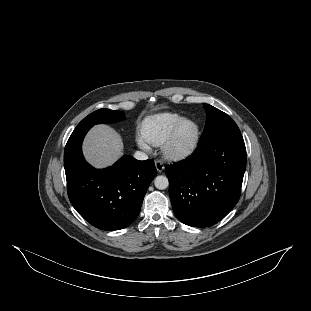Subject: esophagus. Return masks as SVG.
Segmentation results:
<instances>
[{
    "label": "esophagus",
    "mask_w": 311,
    "mask_h": 311,
    "mask_svg": "<svg viewBox=\"0 0 311 311\" xmlns=\"http://www.w3.org/2000/svg\"><path fill=\"white\" fill-rule=\"evenodd\" d=\"M155 167L159 173H162L165 169V165L161 160L155 161Z\"/></svg>",
    "instance_id": "esophagus-1"
}]
</instances>
